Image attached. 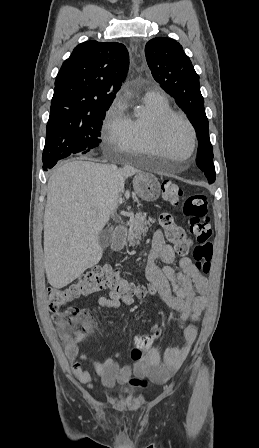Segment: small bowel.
<instances>
[{
    "label": "small bowel",
    "instance_id": "1",
    "mask_svg": "<svg viewBox=\"0 0 259 448\" xmlns=\"http://www.w3.org/2000/svg\"><path fill=\"white\" fill-rule=\"evenodd\" d=\"M177 256V250L165 241L164 234L158 230L152 240L146 275L155 292L172 309L180 313L179 327L183 330L184 342L178 347L169 348L161 357L157 348H150L145 358L130 366H121L114 358L101 361L92 360L81 353L78 347L67 346L66 356L72 370L82 383L93 381L89 372L82 369L79 361L89 364L100 377L102 385L112 388L116 384H129L145 387L142 380L147 377L155 382H166L182 365L197 337V328L193 324L198 320L206 306L208 279L200 272L189 257H182L179 269L171 265ZM160 259L165 266L158 267L155 261ZM134 302L131 295H112L98 298V305L105 308L130 307ZM152 332L161 335L159 325L152 326Z\"/></svg>",
    "mask_w": 259,
    "mask_h": 448
}]
</instances>
